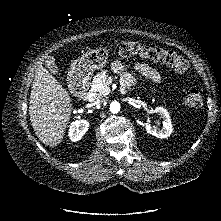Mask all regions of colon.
Segmentation results:
<instances>
[{
  "mask_svg": "<svg viewBox=\"0 0 221 221\" xmlns=\"http://www.w3.org/2000/svg\"><path fill=\"white\" fill-rule=\"evenodd\" d=\"M117 54L126 58L135 54L159 64H165L175 72L183 74L189 67L188 60L176 52L163 48L149 47L133 41H123L117 46ZM184 104L190 108H199L202 105V96L197 89H191L184 97Z\"/></svg>",
  "mask_w": 221,
  "mask_h": 221,
  "instance_id": "1",
  "label": "colon"
}]
</instances>
